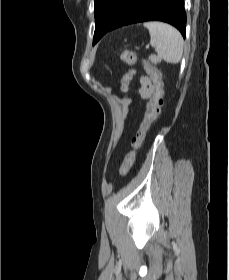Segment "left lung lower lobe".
Returning <instances> with one entry per match:
<instances>
[{"instance_id": "left-lung-lower-lobe-1", "label": "left lung lower lobe", "mask_w": 229, "mask_h": 280, "mask_svg": "<svg viewBox=\"0 0 229 280\" xmlns=\"http://www.w3.org/2000/svg\"><path fill=\"white\" fill-rule=\"evenodd\" d=\"M152 20L173 25L185 38L186 13L184 0H130L121 17L109 31L125 25ZM98 40H93V45Z\"/></svg>"}]
</instances>
